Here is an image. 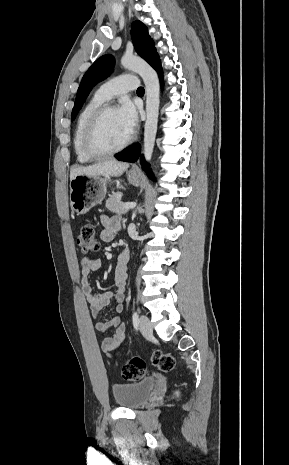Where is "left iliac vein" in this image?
<instances>
[{
  "instance_id": "left-iliac-vein-1",
  "label": "left iliac vein",
  "mask_w": 289,
  "mask_h": 465,
  "mask_svg": "<svg viewBox=\"0 0 289 465\" xmlns=\"http://www.w3.org/2000/svg\"><path fill=\"white\" fill-rule=\"evenodd\" d=\"M139 328H140L141 333L144 336L149 337L153 333V328H152V325L150 323V320L145 315H142L140 317V319H139Z\"/></svg>"
}]
</instances>
